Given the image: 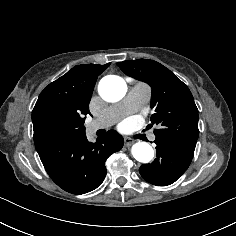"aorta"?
<instances>
[{"mask_svg":"<svg viewBox=\"0 0 236 236\" xmlns=\"http://www.w3.org/2000/svg\"><path fill=\"white\" fill-rule=\"evenodd\" d=\"M127 91L125 81L115 75H109L101 79L98 86L99 95L107 102L121 100ZM133 157L141 163H149L154 157L153 148L146 142H137L131 149Z\"/></svg>","mask_w":236,"mask_h":236,"instance_id":"obj_1","label":"aorta"}]
</instances>
